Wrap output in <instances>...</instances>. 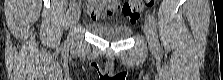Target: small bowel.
<instances>
[{"instance_id": "c3829d8e", "label": "small bowel", "mask_w": 223, "mask_h": 80, "mask_svg": "<svg viewBox=\"0 0 223 80\" xmlns=\"http://www.w3.org/2000/svg\"><path fill=\"white\" fill-rule=\"evenodd\" d=\"M116 11L117 10L114 5H108L103 2H92L88 5V13L94 19L99 17H109Z\"/></svg>"}]
</instances>
